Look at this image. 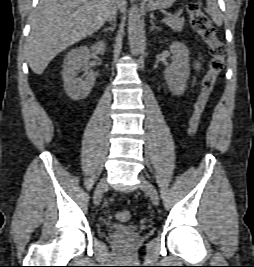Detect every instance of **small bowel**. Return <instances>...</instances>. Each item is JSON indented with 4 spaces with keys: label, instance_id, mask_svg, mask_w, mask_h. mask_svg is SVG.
Wrapping results in <instances>:
<instances>
[{
    "label": "small bowel",
    "instance_id": "c3829d8e",
    "mask_svg": "<svg viewBox=\"0 0 254 267\" xmlns=\"http://www.w3.org/2000/svg\"><path fill=\"white\" fill-rule=\"evenodd\" d=\"M195 68H196V69H199V68H200V64H199V62H197V61L195 62Z\"/></svg>",
    "mask_w": 254,
    "mask_h": 267
}]
</instances>
